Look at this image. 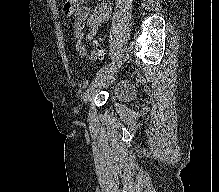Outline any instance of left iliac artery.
<instances>
[{
  "mask_svg": "<svg viewBox=\"0 0 219 192\" xmlns=\"http://www.w3.org/2000/svg\"><path fill=\"white\" fill-rule=\"evenodd\" d=\"M112 64H113V62H112V63H109V64H107V65H105L104 67H102V68L96 73V75L98 76V75L104 73L105 71H107V70L111 67ZM86 85H87V82L84 83V86H86Z\"/></svg>",
  "mask_w": 219,
  "mask_h": 192,
  "instance_id": "left-iliac-artery-1",
  "label": "left iliac artery"
}]
</instances>
